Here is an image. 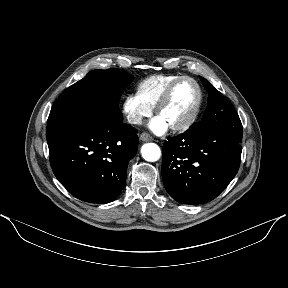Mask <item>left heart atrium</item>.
I'll return each mask as SVG.
<instances>
[{
  "label": "left heart atrium",
  "instance_id": "obj_1",
  "mask_svg": "<svg viewBox=\"0 0 288 288\" xmlns=\"http://www.w3.org/2000/svg\"><path fill=\"white\" fill-rule=\"evenodd\" d=\"M150 128L157 134H163L169 128V125L160 117H156L150 123Z\"/></svg>",
  "mask_w": 288,
  "mask_h": 288
}]
</instances>
